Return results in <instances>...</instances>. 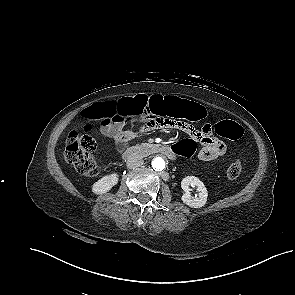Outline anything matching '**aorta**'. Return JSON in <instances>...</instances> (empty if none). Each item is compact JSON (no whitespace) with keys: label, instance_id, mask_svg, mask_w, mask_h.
<instances>
[{"label":"aorta","instance_id":"aorta-1","mask_svg":"<svg viewBox=\"0 0 295 295\" xmlns=\"http://www.w3.org/2000/svg\"><path fill=\"white\" fill-rule=\"evenodd\" d=\"M152 168L156 171H162L165 169L166 163L162 157L156 156L151 161Z\"/></svg>","mask_w":295,"mask_h":295}]
</instances>
